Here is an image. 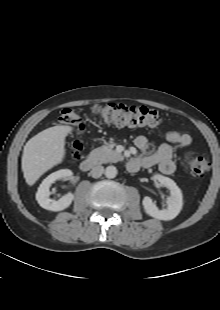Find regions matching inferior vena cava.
<instances>
[{
    "instance_id": "602c4592",
    "label": "inferior vena cava",
    "mask_w": 220,
    "mask_h": 310,
    "mask_svg": "<svg viewBox=\"0 0 220 310\" xmlns=\"http://www.w3.org/2000/svg\"><path fill=\"white\" fill-rule=\"evenodd\" d=\"M104 173V167L101 165L95 166L90 171V175L93 178H99Z\"/></svg>"
}]
</instances>
